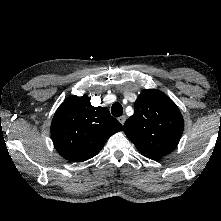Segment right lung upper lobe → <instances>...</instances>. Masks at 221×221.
Masks as SVG:
<instances>
[{
    "mask_svg": "<svg viewBox=\"0 0 221 221\" xmlns=\"http://www.w3.org/2000/svg\"><path fill=\"white\" fill-rule=\"evenodd\" d=\"M88 96H73L57 109L51 137L58 153L72 162L86 161L99 153L106 141L123 126L105 107H93Z\"/></svg>",
    "mask_w": 221,
    "mask_h": 221,
    "instance_id": "obj_1",
    "label": "right lung upper lobe"
}]
</instances>
